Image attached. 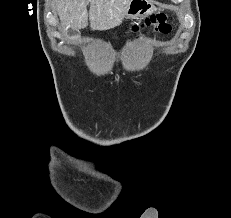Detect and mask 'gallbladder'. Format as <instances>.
Listing matches in <instances>:
<instances>
[{
	"instance_id": "bac80fb5",
	"label": "gallbladder",
	"mask_w": 231,
	"mask_h": 218,
	"mask_svg": "<svg viewBox=\"0 0 231 218\" xmlns=\"http://www.w3.org/2000/svg\"><path fill=\"white\" fill-rule=\"evenodd\" d=\"M68 35L71 37L78 38L80 36V32L74 29H68Z\"/></svg>"
}]
</instances>
